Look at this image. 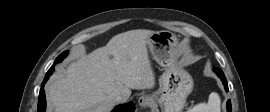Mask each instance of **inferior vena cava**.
Segmentation results:
<instances>
[{
  "label": "inferior vena cava",
  "instance_id": "1",
  "mask_svg": "<svg viewBox=\"0 0 270 112\" xmlns=\"http://www.w3.org/2000/svg\"><path fill=\"white\" fill-rule=\"evenodd\" d=\"M127 100V98L122 94L115 95V101L117 103H124Z\"/></svg>",
  "mask_w": 270,
  "mask_h": 112
}]
</instances>
